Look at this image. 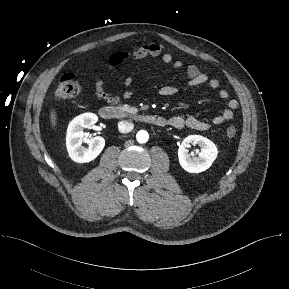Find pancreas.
Masks as SVG:
<instances>
[{"instance_id":"pancreas-1","label":"pancreas","mask_w":289,"mask_h":289,"mask_svg":"<svg viewBox=\"0 0 289 289\" xmlns=\"http://www.w3.org/2000/svg\"><path fill=\"white\" fill-rule=\"evenodd\" d=\"M121 108L130 114H136L138 112V109L133 106L123 105Z\"/></svg>"}]
</instances>
